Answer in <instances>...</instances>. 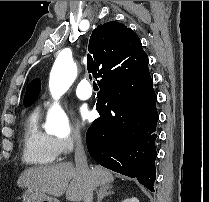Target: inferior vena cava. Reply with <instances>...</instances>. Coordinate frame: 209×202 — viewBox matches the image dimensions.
I'll use <instances>...</instances> for the list:
<instances>
[{"label": "inferior vena cava", "instance_id": "obj_1", "mask_svg": "<svg viewBox=\"0 0 209 202\" xmlns=\"http://www.w3.org/2000/svg\"><path fill=\"white\" fill-rule=\"evenodd\" d=\"M75 168L84 180V202H93L94 185L90 177L87 158L80 139L75 141Z\"/></svg>", "mask_w": 209, "mask_h": 202}]
</instances>
